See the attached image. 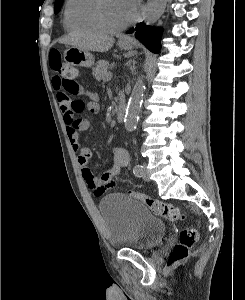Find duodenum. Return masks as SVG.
<instances>
[{"label": "duodenum", "mask_w": 245, "mask_h": 300, "mask_svg": "<svg viewBox=\"0 0 245 300\" xmlns=\"http://www.w3.org/2000/svg\"><path fill=\"white\" fill-rule=\"evenodd\" d=\"M125 116V103L122 96H119L116 107V118L119 123L124 120Z\"/></svg>", "instance_id": "duodenum-1"}]
</instances>
